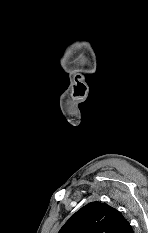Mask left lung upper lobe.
I'll return each instance as SVG.
<instances>
[{
  "label": "left lung upper lobe",
  "instance_id": "left-lung-upper-lobe-1",
  "mask_svg": "<svg viewBox=\"0 0 148 233\" xmlns=\"http://www.w3.org/2000/svg\"><path fill=\"white\" fill-rule=\"evenodd\" d=\"M129 222L115 208L91 202L73 214L58 233H132Z\"/></svg>",
  "mask_w": 148,
  "mask_h": 233
}]
</instances>
